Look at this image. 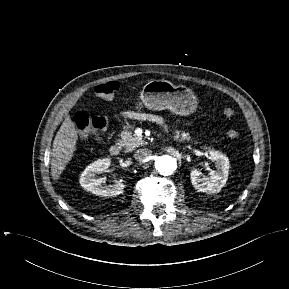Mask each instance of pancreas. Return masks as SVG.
<instances>
[{
  "instance_id": "1",
  "label": "pancreas",
  "mask_w": 289,
  "mask_h": 289,
  "mask_svg": "<svg viewBox=\"0 0 289 289\" xmlns=\"http://www.w3.org/2000/svg\"><path fill=\"white\" fill-rule=\"evenodd\" d=\"M120 144L126 149V152L133 151L135 148L144 144V140L141 137L134 135L130 130L126 129L120 134ZM174 139L178 141H189L191 137L188 133H181L176 130L174 132Z\"/></svg>"
}]
</instances>
